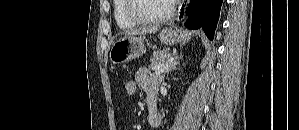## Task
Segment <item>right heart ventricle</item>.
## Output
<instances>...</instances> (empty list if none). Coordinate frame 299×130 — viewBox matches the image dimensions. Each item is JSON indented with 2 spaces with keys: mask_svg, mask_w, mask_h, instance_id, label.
<instances>
[{
  "mask_svg": "<svg viewBox=\"0 0 299 130\" xmlns=\"http://www.w3.org/2000/svg\"><path fill=\"white\" fill-rule=\"evenodd\" d=\"M114 18L120 29L128 30L138 26V23L132 21L127 15V0L114 1Z\"/></svg>",
  "mask_w": 299,
  "mask_h": 130,
  "instance_id": "right-heart-ventricle-1",
  "label": "right heart ventricle"
}]
</instances>
